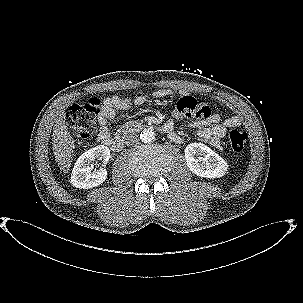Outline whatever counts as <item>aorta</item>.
Wrapping results in <instances>:
<instances>
[{"instance_id":"aorta-1","label":"aorta","mask_w":303,"mask_h":303,"mask_svg":"<svg viewBox=\"0 0 303 303\" xmlns=\"http://www.w3.org/2000/svg\"><path fill=\"white\" fill-rule=\"evenodd\" d=\"M140 140L144 143H149L155 140V132L151 128L144 129L140 133Z\"/></svg>"}]
</instances>
